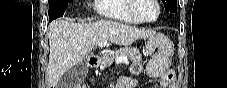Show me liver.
<instances>
[{"instance_id":"obj_1","label":"liver","mask_w":227,"mask_h":88,"mask_svg":"<svg viewBox=\"0 0 227 88\" xmlns=\"http://www.w3.org/2000/svg\"><path fill=\"white\" fill-rule=\"evenodd\" d=\"M155 33L111 20L75 23L64 18L53 21L47 33L50 45L47 88L56 87L64 73L84 60L98 43L104 41L128 46Z\"/></svg>"}]
</instances>
